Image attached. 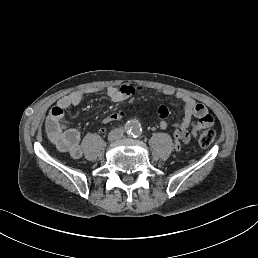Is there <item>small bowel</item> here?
Returning a JSON list of instances; mask_svg holds the SVG:
<instances>
[{
  "label": "small bowel",
  "mask_w": 258,
  "mask_h": 258,
  "mask_svg": "<svg viewBox=\"0 0 258 258\" xmlns=\"http://www.w3.org/2000/svg\"><path fill=\"white\" fill-rule=\"evenodd\" d=\"M140 87L124 84L119 87H107L104 89H85L72 92L58 100L49 111L46 120V131L50 141L62 152L68 153L72 158L78 159L82 156L80 146V133L77 129L68 127L65 123L66 110L72 106H78L86 97L94 93H104L111 101L121 102L131 97ZM163 95L173 96L183 104V116L178 123L170 124L168 116L170 109L161 105L158 108L160 127L174 128L175 149L180 150L182 143H188L195 138L198 132L204 128L213 126L214 119L207 108L197 103L190 95L183 92H174L170 89L160 91ZM124 117L122 111L114 112L103 120L104 124H110Z\"/></svg>",
  "instance_id": "c3829d8e"
}]
</instances>
